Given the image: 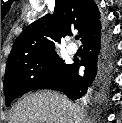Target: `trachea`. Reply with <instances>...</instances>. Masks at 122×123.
<instances>
[{
    "instance_id": "trachea-1",
    "label": "trachea",
    "mask_w": 122,
    "mask_h": 123,
    "mask_svg": "<svg viewBox=\"0 0 122 123\" xmlns=\"http://www.w3.org/2000/svg\"><path fill=\"white\" fill-rule=\"evenodd\" d=\"M75 39H77V40H78V39H79V36L77 35V36L75 37Z\"/></svg>"
}]
</instances>
